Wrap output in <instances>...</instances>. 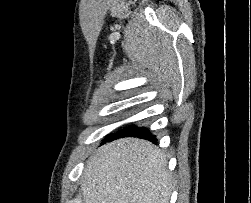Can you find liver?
<instances>
[{
	"instance_id": "6515ba94",
	"label": "liver",
	"mask_w": 251,
	"mask_h": 203,
	"mask_svg": "<svg viewBox=\"0 0 251 203\" xmlns=\"http://www.w3.org/2000/svg\"><path fill=\"white\" fill-rule=\"evenodd\" d=\"M84 203H169L167 160L154 144L123 138L100 148L83 171Z\"/></svg>"
}]
</instances>
